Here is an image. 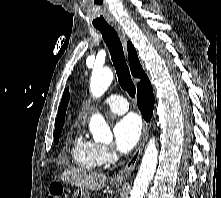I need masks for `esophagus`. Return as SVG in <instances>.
<instances>
[{"label":"esophagus","instance_id":"obj_1","mask_svg":"<svg viewBox=\"0 0 221 198\" xmlns=\"http://www.w3.org/2000/svg\"><path fill=\"white\" fill-rule=\"evenodd\" d=\"M114 29L117 31L119 37L121 38L122 42L124 43V45L126 44L127 38H126V34L122 28V26L120 24H113ZM148 130H149V126L147 123L144 124L143 126V131H142V135L141 138L139 140L138 146L134 152V154L132 155L131 159L128 161V163L126 164V166L121 169L113 178V181L116 183L122 182L124 180L127 179V177L132 173V171L134 170L145 145V142L147 140L148 137Z\"/></svg>","mask_w":221,"mask_h":198}]
</instances>
